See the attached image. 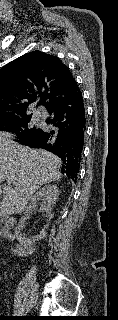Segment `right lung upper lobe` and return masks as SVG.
Returning <instances> with one entry per match:
<instances>
[{"label":"right lung upper lobe","instance_id":"cb5924a9","mask_svg":"<svg viewBox=\"0 0 118 320\" xmlns=\"http://www.w3.org/2000/svg\"><path fill=\"white\" fill-rule=\"evenodd\" d=\"M80 89L69 69L57 57L29 52L0 69V119L27 116L31 103L47 110L75 96Z\"/></svg>","mask_w":118,"mask_h":320}]
</instances>
